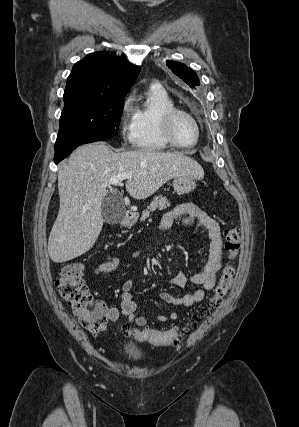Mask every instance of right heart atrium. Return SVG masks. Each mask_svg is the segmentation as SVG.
<instances>
[{
	"instance_id": "1",
	"label": "right heart atrium",
	"mask_w": 299,
	"mask_h": 427,
	"mask_svg": "<svg viewBox=\"0 0 299 427\" xmlns=\"http://www.w3.org/2000/svg\"><path fill=\"white\" fill-rule=\"evenodd\" d=\"M119 129L121 137L126 142L134 139V107L131 95L126 96L119 110Z\"/></svg>"
}]
</instances>
